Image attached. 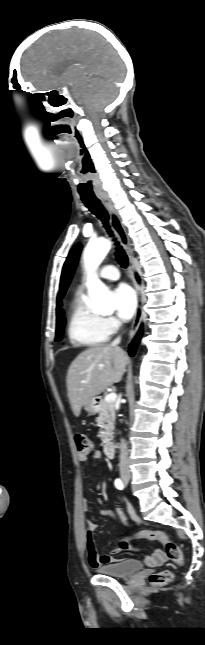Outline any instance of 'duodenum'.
I'll return each instance as SVG.
<instances>
[{"instance_id":"duodenum-1","label":"duodenum","mask_w":205,"mask_h":645,"mask_svg":"<svg viewBox=\"0 0 205 645\" xmlns=\"http://www.w3.org/2000/svg\"><path fill=\"white\" fill-rule=\"evenodd\" d=\"M104 454L109 459H112L115 456V446L112 442L105 443Z\"/></svg>"}]
</instances>
